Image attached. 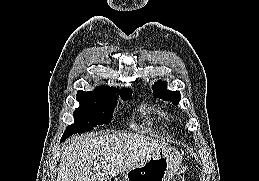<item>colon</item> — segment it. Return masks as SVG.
Instances as JSON below:
<instances>
[{"label":"colon","mask_w":259,"mask_h":181,"mask_svg":"<svg viewBox=\"0 0 259 181\" xmlns=\"http://www.w3.org/2000/svg\"><path fill=\"white\" fill-rule=\"evenodd\" d=\"M189 177L187 175H181L176 181H188Z\"/></svg>","instance_id":"1"}]
</instances>
